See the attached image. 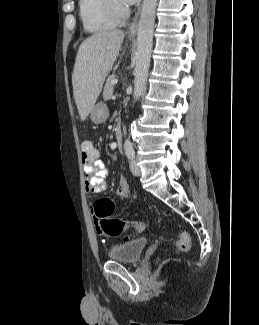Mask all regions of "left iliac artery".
Wrapping results in <instances>:
<instances>
[{
  "label": "left iliac artery",
  "instance_id": "obj_1",
  "mask_svg": "<svg viewBox=\"0 0 259 325\" xmlns=\"http://www.w3.org/2000/svg\"><path fill=\"white\" fill-rule=\"evenodd\" d=\"M124 150L128 159H133L135 157V152L132 143L126 142L124 145Z\"/></svg>",
  "mask_w": 259,
  "mask_h": 325
}]
</instances>
